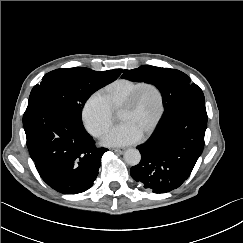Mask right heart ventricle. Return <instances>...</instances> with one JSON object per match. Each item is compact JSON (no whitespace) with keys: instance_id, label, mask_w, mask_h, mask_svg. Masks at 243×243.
<instances>
[{"instance_id":"e07e8e85","label":"right heart ventricle","mask_w":243,"mask_h":243,"mask_svg":"<svg viewBox=\"0 0 243 243\" xmlns=\"http://www.w3.org/2000/svg\"><path fill=\"white\" fill-rule=\"evenodd\" d=\"M143 81L132 79H117L107 86H105L100 94L106 101L111 111L120 110L122 104L127 100L131 93L139 86Z\"/></svg>"}]
</instances>
